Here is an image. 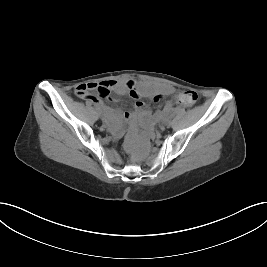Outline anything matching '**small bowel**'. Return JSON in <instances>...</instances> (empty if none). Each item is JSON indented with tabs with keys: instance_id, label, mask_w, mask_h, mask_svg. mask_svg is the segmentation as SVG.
Wrapping results in <instances>:
<instances>
[{
	"instance_id": "obj_1",
	"label": "small bowel",
	"mask_w": 267,
	"mask_h": 267,
	"mask_svg": "<svg viewBox=\"0 0 267 267\" xmlns=\"http://www.w3.org/2000/svg\"><path fill=\"white\" fill-rule=\"evenodd\" d=\"M103 83L105 86L109 88H116L119 93H125L127 90V85L124 82L117 83L114 81H104ZM86 84H81L76 87L75 93L78 97H80L78 93L79 88L81 86H85ZM129 87L131 88L129 94L133 99H135L134 106L137 110H141L145 106L144 102L141 100L142 97L167 96V95H172L175 93V89L170 85L157 84V83H151V82H139L133 86L129 85ZM82 99H87L88 101L94 103L97 107L102 108L105 111H109V108L105 105L104 101L101 99H98L95 97L82 98ZM165 107L167 110H172L173 103L171 101H168ZM132 116L133 115L130 112L125 113L126 118H132ZM161 116L162 114L160 112H156L154 118L158 120L161 118Z\"/></svg>"
}]
</instances>
